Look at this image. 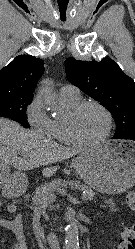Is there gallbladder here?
Segmentation results:
<instances>
[{
    "label": "gallbladder",
    "instance_id": "obj_1",
    "mask_svg": "<svg viewBox=\"0 0 135 249\" xmlns=\"http://www.w3.org/2000/svg\"><path fill=\"white\" fill-rule=\"evenodd\" d=\"M3 170H8V167L7 165H5L4 163L0 161V184L2 183Z\"/></svg>",
    "mask_w": 135,
    "mask_h": 249
}]
</instances>
